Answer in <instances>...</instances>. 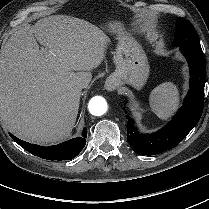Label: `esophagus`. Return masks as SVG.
<instances>
[{
  "mask_svg": "<svg viewBox=\"0 0 209 209\" xmlns=\"http://www.w3.org/2000/svg\"><path fill=\"white\" fill-rule=\"evenodd\" d=\"M105 88L108 91H113L116 89V85L113 83L111 79H107L105 82Z\"/></svg>",
  "mask_w": 209,
  "mask_h": 209,
  "instance_id": "1",
  "label": "esophagus"
}]
</instances>
